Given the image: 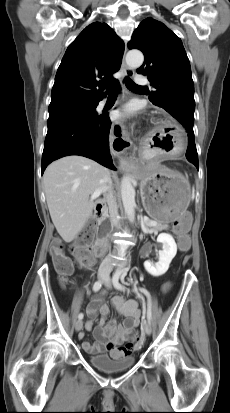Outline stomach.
I'll return each mask as SVG.
<instances>
[{
  "label": "stomach",
  "mask_w": 230,
  "mask_h": 413,
  "mask_svg": "<svg viewBox=\"0 0 230 413\" xmlns=\"http://www.w3.org/2000/svg\"><path fill=\"white\" fill-rule=\"evenodd\" d=\"M140 175L143 207L152 219L169 223L187 210L191 190L185 176L163 166L145 168Z\"/></svg>",
  "instance_id": "1"
}]
</instances>
